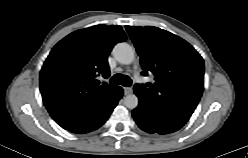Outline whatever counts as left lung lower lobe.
<instances>
[{"label":"left lung lower lobe","instance_id":"obj_1","mask_svg":"<svg viewBox=\"0 0 248 158\" xmlns=\"http://www.w3.org/2000/svg\"><path fill=\"white\" fill-rule=\"evenodd\" d=\"M132 116L138 126L148 133L163 135L175 132L182 127L143 102H140L138 107L133 110Z\"/></svg>","mask_w":248,"mask_h":158}]
</instances>
